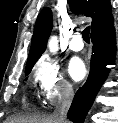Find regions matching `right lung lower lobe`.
Here are the masks:
<instances>
[{
  "label": "right lung lower lobe",
  "instance_id": "1",
  "mask_svg": "<svg viewBox=\"0 0 118 123\" xmlns=\"http://www.w3.org/2000/svg\"><path fill=\"white\" fill-rule=\"evenodd\" d=\"M92 57L90 73L85 84L79 88L71 107L68 111V118L74 123H83L92 106L94 99L108 75L109 69L106 65L112 64L115 58V34L112 26L107 31L91 37Z\"/></svg>",
  "mask_w": 118,
  "mask_h": 123
}]
</instances>
